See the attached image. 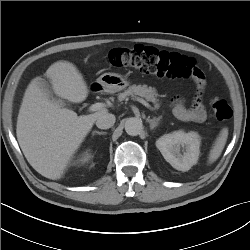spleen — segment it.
Listing matches in <instances>:
<instances>
[{
  "label": "spleen",
  "mask_w": 250,
  "mask_h": 250,
  "mask_svg": "<svg viewBox=\"0 0 250 250\" xmlns=\"http://www.w3.org/2000/svg\"><path fill=\"white\" fill-rule=\"evenodd\" d=\"M228 138V129L227 128H223L218 137L216 138L210 152H209V157H208V163L211 164L213 162H215L221 155L226 141Z\"/></svg>",
  "instance_id": "obj_1"
}]
</instances>
